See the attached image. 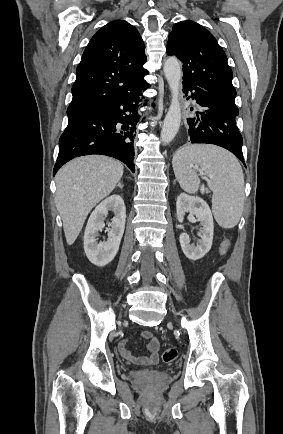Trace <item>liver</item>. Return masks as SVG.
<instances>
[{"label": "liver", "mask_w": 283, "mask_h": 434, "mask_svg": "<svg viewBox=\"0 0 283 434\" xmlns=\"http://www.w3.org/2000/svg\"><path fill=\"white\" fill-rule=\"evenodd\" d=\"M123 165L103 155L75 158L56 175L57 210L68 245L77 239L89 212L116 187Z\"/></svg>", "instance_id": "1"}]
</instances>
